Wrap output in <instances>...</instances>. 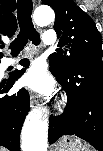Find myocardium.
<instances>
[{"mask_svg":"<svg viewBox=\"0 0 103 151\" xmlns=\"http://www.w3.org/2000/svg\"><path fill=\"white\" fill-rule=\"evenodd\" d=\"M58 109H61L63 107V101L60 100L58 103H57V106H56Z\"/></svg>","mask_w":103,"mask_h":151,"instance_id":"f54148a6","label":"myocardium"}]
</instances>
